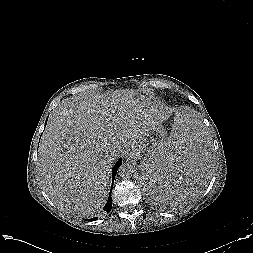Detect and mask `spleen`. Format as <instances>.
Wrapping results in <instances>:
<instances>
[{
  "label": "spleen",
  "mask_w": 253,
  "mask_h": 253,
  "mask_svg": "<svg viewBox=\"0 0 253 253\" xmlns=\"http://www.w3.org/2000/svg\"><path fill=\"white\" fill-rule=\"evenodd\" d=\"M214 170L204 125L192 117L176 120L151 160L140 170L143 190L161 204H181L202 192Z\"/></svg>",
  "instance_id": "obj_1"
}]
</instances>
